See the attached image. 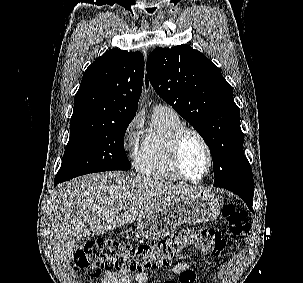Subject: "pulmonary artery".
Returning <instances> with one entry per match:
<instances>
[{
    "label": "pulmonary artery",
    "instance_id": "1",
    "mask_svg": "<svg viewBox=\"0 0 303 283\" xmlns=\"http://www.w3.org/2000/svg\"><path fill=\"white\" fill-rule=\"evenodd\" d=\"M155 110H171V109L167 106L158 105L155 107Z\"/></svg>",
    "mask_w": 303,
    "mask_h": 283
}]
</instances>
